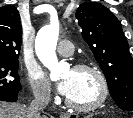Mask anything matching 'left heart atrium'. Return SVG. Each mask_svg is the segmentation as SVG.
<instances>
[{
	"mask_svg": "<svg viewBox=\"0 0 133 118\" xmlns=\"http://www.w3.org/2000/svg\"><path fill=\"white\" fill-rule=\"evenodd\" d=\"M72 87V79L70 76L64 77L58 84L57 90L60 94L68 96Z\"/></svg>",
	"mask_w": 133,
	"mask_h": 118,
	"instance_id": "39dd6f15",
	"label": "left heart atrium"
}]
</instances>
